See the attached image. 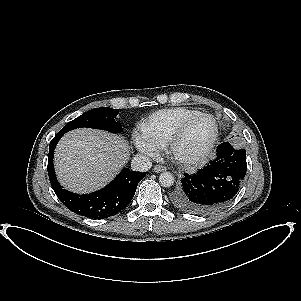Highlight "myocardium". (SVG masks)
<instances>
[{
    "label": "myocardium",
    "mask_w": 301,
    "mask_h": 301,
    "mask_svg": "<svg viewBox=\"0 0 301 301\" xmlns=\"http://www.w3.org/2000/svg\"><path fill=\"white\" fill-rule=\"evenodd\" d=\"M201 118H208L210 119L214 124V131L212 134L211 139L209 140L208 144L195 156H181L177 153L176 148L177 145L180 143L181 139L184 137L186 131L190 127L191 124H193L195 121ZM218 123L215 117L211 114L200 112L199 114L190 117L189 119L185 120L176 130L175 132L170 136L168 139L165 148L167 153L176 161L181 162L183 164L187 165H194L199 164L203 161H205L208 156L210 155L211 151L213 150L217 138H218Z\"/></svg>",
    "instance_id": "obj_1"
}]
</instances>
